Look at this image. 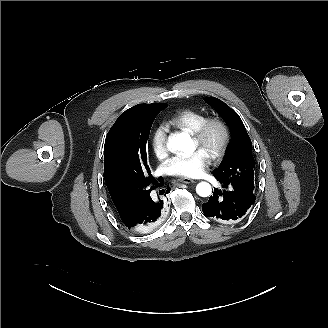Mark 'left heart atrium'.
<instances>
[{"label":"left heart atrium","mask_w":328,"mask_h":328,"mask_svg":"<svg viewBox=\"0 0 328 328\" xmlns=\"http://www.w3.org/2000/svg\"><path fill=\"white\" fill-rule=\"evenodd\" d=\"M209 164L210 158L205 152L194 150L172 158L166 163V168L172 175L197 178L206 172Z\"/></svg>","instance_id":"1"}]
</instances>
